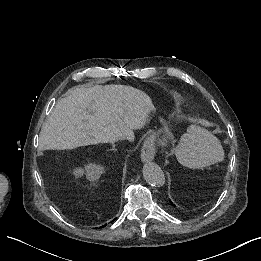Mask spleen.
Masks as SVG:
<instances>
[{"instance_id": "spleen-1", "label": "spleen", "mask_w": 261, "mask_h": 261, "mask_svg": "<svg viewBox=\"0 0 261 261\" xmlns=\"http://www.w3.org/2000/svg\"><path fill=\"white\" fill-rule=\"evenodd\" d=\"M179 162L188 168L199 169L224 160L220 140L207 129L191 125L181 136L176 148Z\"/></svg>"}]
</instances>
